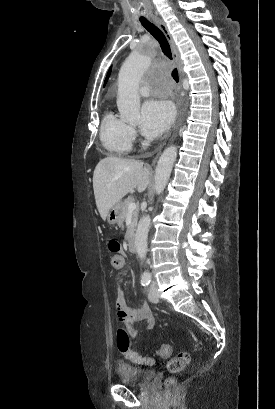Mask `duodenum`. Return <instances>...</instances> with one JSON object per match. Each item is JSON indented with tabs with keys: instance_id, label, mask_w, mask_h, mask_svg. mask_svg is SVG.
<instances>
[{
	"instance_id": "duodenum-1",
	"label": "duodenum",
	"mask_w": 275,
	"mask_h": 409,
	"mask_svg": "<svg viewBox=\"0 0 275 409\" xmlns=\"http://www.w3.org/2000/svg\"><path fill=\"white\" fill-rule=\"evenodd\" d=\"M127 246H128V250L131 253H134L136 251V245H135V238L134 235L131 234L128 238V242H127Z\"/></svg>"
}]
</instances>
